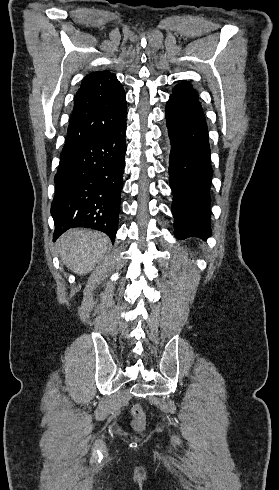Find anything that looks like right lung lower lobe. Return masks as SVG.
Instances as JSON below:
<instances>
[{
  "label": "right lung lower lobe",
  "mask_w": 279,
  "mask_h": 490,
  "mask_svg": "<svg viewBox=\"0 0 279 490\" xmlns=\"http://www.w3.org/2000/svg\"><path fill=\"white\" fill-rule=\"evenodd\" d=\"M126 120L84 143L63 148L55 175L51 215L55 241L69 228L106 233L115 241L123 187Z\"/></svg>",
  "instance_id": "1"
}]
</instances>
